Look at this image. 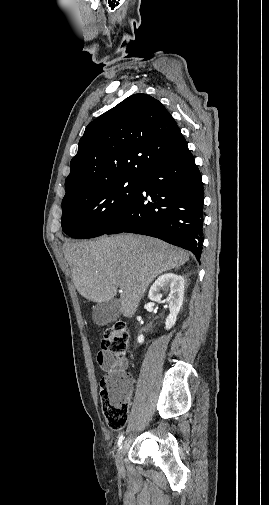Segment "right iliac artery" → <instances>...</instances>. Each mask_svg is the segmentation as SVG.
<instances>
[{"mask_svg":"<svg viewBox=\"0 0 269 505\" xmlns=\"http://www.w3.org/2000/svg\"><path fill=\"white\" fill-rule=\"evenodd\" d=\"M123 440H124V436H123V435H121V436L119 437V439H118V446H119V447L121 446V443H122V441H123Z\"/></svg>","mask_w":269,"mask_h":505,"instance_id":"obj_1","label":"right iliac artery"}]
</instances>
